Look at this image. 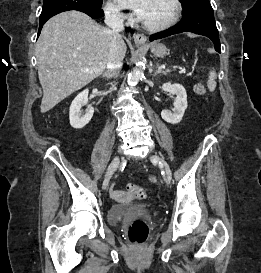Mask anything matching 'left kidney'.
Here are the masks:
<instances>
[{
	"label": "left kidney",
	"instance_id": "1",
	"mask_svg": "<svg viewBox=\"0 0 261 273\" xmlns=\"http://www.w3.org/2000/svg\"><path fill=\"white\" fill-rule=\"evenodd\" d=\"M162 90L176 95V100L174 102L173 112L163 110L161 112V117L168 123L178 124L182 120V117L187 108L186 90L182 85L178 83H164L162 85Z\"/></svg>",
	"mask_w": 261,
	"mask_h": 273
}]
</instances>
